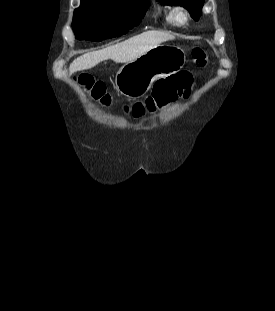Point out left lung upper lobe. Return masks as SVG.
Wrapping results in <instances>:
<instances>
[{
	"mask_svg": "<svg viewBox=\"0 0 275 311\" xmlns=\"http://www.w3.org/2000/svg\"><path fill=\"white\" fill-rule=\"evenodd\" d=\"M166 5L182 6L189 11L192 18L198 20L201 16L204 0H157Z\"/></svg>",
	"mask_w": 275,
	"mask_h": 311,
	"instance_id": "obj_1",
	"label": "left lung upper lobe"
}]
</instances>
